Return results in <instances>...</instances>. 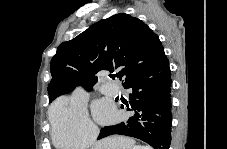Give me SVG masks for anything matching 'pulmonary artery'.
Instances as JSON below:
<instances>
[{
  "label": "pulmonary artery",
  "instance_id": "e3ab8cb5",
  "mask_svg": "<svg viewBox=\"0 0 227 149\" xmlns=\"http://www.w3.org/2000/svg\"><path fill=\"white\" fill-rule=\"evenodd\" d=\"M106 90L112 94H116L117 93V88L114 85H108L106 86Z\"/></svg>",
  "mask_w": 227,
  "mask_h": 149
}]
</instances>
